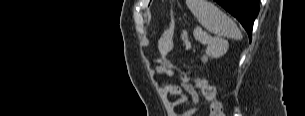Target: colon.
Instances as JSON below:
<instances>
[{
  "instance_id": "5ec220e1",
  "label": "colon",
  "mask_w": 305,
  "mask_h": 116,
  "mask_svg": "<svg viewBox=\"0 0 305 116\" xmlns=\"http://www.w3.org/2000/svg\"><path fill=\"white\" fill-rule=\"evenodd\" d=\"M185 79L188 77L183 74ZM196 87L201 90V93L210 103V116H225L223 112L222 103L218 99L216 90L205 79L198 78L194 80Z\"/></svg>"
}]
</instances>
